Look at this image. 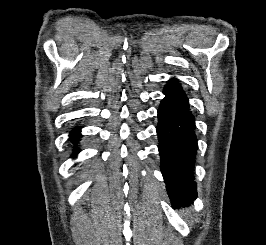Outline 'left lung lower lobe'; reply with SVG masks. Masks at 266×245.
Segmentation results:
<instances>
[{
    "label": "left lung lower lobe",
    "instance_id": "obj_1",
    "mask_svg": "<svg viewBox=\"0 0 266 245\" xmlns=\"http://www.w3.org/2000/svg\"><path fill=\"white\" fill-rule=\"evenodd\" d=\"M163 93L157 126L161 171L172 204L192 202L197 198L193 175L197 151L195 118L176 79L167 82Z\"/></svg>",
    "mask_w": 266,
    "mask_h": 245
}]
</instances>
